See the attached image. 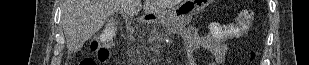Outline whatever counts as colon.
<instances>
[{
    "label": "colon",
    "mask_w": 309,
    "mask_h": 65,
    "mask_svg": "<svg viewBox=\"0 0 309 65\" xmlns=\"http://www.w3.org/2000/svg\"><path fill=\"white\" fill-rule=\"evenodd\" d=\"M254 22V11L252 9H242L233 23L221 24L213 23L209 26L210 34L219 40L237 39L241 37ZM117 28L113 24H108L102 31L99 38L90 44L89 55L82 58L79 65H97L105 62L110 56L111 48L115 43ZM254 53L251 54V60Z\"/></svg>",
    "instance_id": "colon-1"
}]
</instances>
